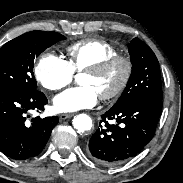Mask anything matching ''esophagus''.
I'll list each match as a JSON object with an SVG mask.
<instances>
[{
  "label": "esophagus",
  "instance_id": "1",
  "mask_svg": "<svg viewBox=\"0 0 183 183\" xmlns=\"http://www.w3.org/2000/svg\"><path fill=\"white\" fill-rule=\"evenodd\" d=\"M72 116H73V114L63 113V114H60L59 118H60V120H64V119L70 118Z\"/></svg>",
  "mask_w": 183,
  "mask_h": 183
}]
</instances>
